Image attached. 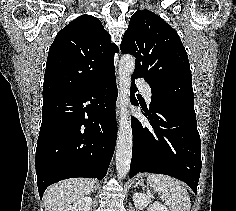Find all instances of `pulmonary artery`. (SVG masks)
Here are the masks:
<instances>
[{"instance_id":"pulmonary-artery-1","label":"pulmonary artery","mask_w":236,"mask_h":211,"mask_svg":"<svg viewBox=\"0 0 236 211\" xmlns=\"http://www.w3.org/2000/svg\"><path fill=\"white\" fill-rule=\"evenodd\" d=\"M137 85L139 86L140 91L143 93L144 98L146 99L147 102H151L152 100V92H151V88L150 85L141 79H138L136 81Z\"/></svg>"}]
</instances>
